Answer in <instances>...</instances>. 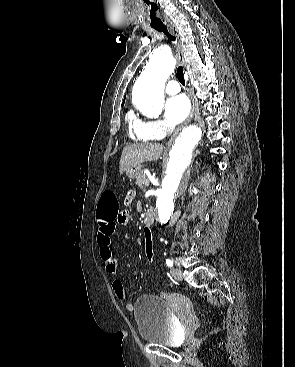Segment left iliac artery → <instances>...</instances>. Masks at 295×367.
Segmentation results:
<instances>
[{"label":"left iliac artery","mask_w":295,"mask_h":367,"mask_svg":"<svg viewBox=\"0 0 295 367\" xmlns=\"http://www.w3.org/2000/svg\"><path fill=\"white\" fill-rule=\"evenodd\" d=\"M166 264L168 267H173V261L170 259H166Z\"/></svg>","instance_id":"obj_1"}]
</instances>
